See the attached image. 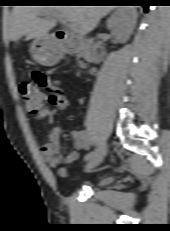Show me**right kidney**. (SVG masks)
I'll return each instance as SVG.
<instances>
[{"instance_id":"right-kidney-1","label":"right kidney","mask_w":170,"mask_h":231,"mask_svg":"<svg viewBox=\"0 0 170 231\" xmlns=\"http://www.w3.org/2000/svg\"><path fill=\"white\" fill-rule=\"evenodd\" d=\"M137 20V12L133 7H120L107 21V27L125 43L130 38Z\"/></svg>"}]
</instances>
